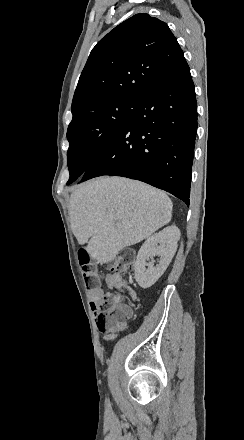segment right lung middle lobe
<instances>
[{
	"label": "right lung middle lobe",
	"mask_w": 244,
	"mask_h": 440,
	"mask_svg": "<svg viewBox=\"0 0 244 440\" xmlns=\"http://www.w3.org/2000/svg\"><path fill=\"white\" fill-rule=\"evenodd\" d=\"M141 97H112L82 104L72 109L67 139L70 178L76 181L92 161L128 122Z\"/></svg>",
	"instance_id": "1"
}]
</instances>
